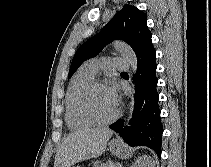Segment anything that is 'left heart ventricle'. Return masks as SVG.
<instances>
[{
	"instance_id": "1",
	"label": "left heart ventricle",
	"mask_w": 211,
	"mask_h": 167,
	"mask_svg": "<svg viewBox=\"0 0 211 167\" xmlns=\"http://www.w3.org/2000/svg\"><path fill=\"white\" fill-rule=\"evenodd\" d=\"M88 107L91 113L101 120L108 119L116 110L106 87H97L92 91L88 98Z\"/></svg>"
}]
</instances>
